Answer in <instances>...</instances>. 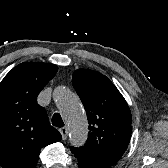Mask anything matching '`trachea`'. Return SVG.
I'll return each instance as SVG.
<instances>
[{
	"label": "trachea",
	"instance_id": "obj_1",
	"mask_svg": "<svg viewBox=\"0 0 168 168\" xmlns=\"http://www.w3.org/2000/svg\"><path fill=\"white\" fill-rule=\"evenodd\" d=\"M52 125L56 127H63L64 122L61 118V115L59 113H55L52 117Z\"/></svg>",
	"mask_w": 168,
	"mask_h": 168
}]
</instances>
